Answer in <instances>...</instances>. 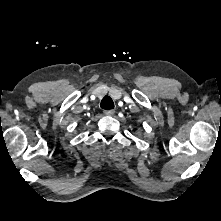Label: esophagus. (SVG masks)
Returning <instances> with one entry per match:
<instances>
[{"instance_id": "1", "label": "esophagus", "mask_w": 221, "mask_h": 221, "mask_svg": "<svg viewBox=\"0 0 221 221\" xmlns=\"http://www.w3.org/2000/svg\"><path fill=\"white\" fill-rule=\"evenodd\" d=\"M114 113H115L114 110H105L104 111V114L107 115V116H112Z\"/></svg>"}]
</instances>
